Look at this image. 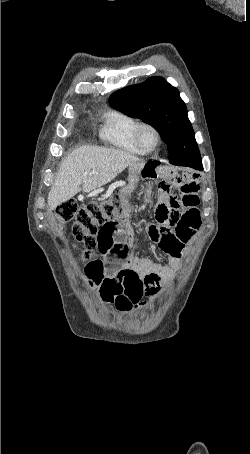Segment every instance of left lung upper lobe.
Listing matches in <instances>:
<instances>
[{
    "instance_id": "left-lung-upper-lobe-1",
    "label": "left lung upper lobe",
    "mask_w": 250,
    "mask_h": 454,
    "mask_svg": "<svg viewBox=\"0 0 250 454\" xmlns=\"http://www.w3.org/2000/svg\"><path fill=\"white\" fill-rule=\"evenodd\" d=\"M109 104L153 126L168 146L169 158L184 154L200 157L186 105L179 91L162 77H151L114 92Z\"/></svg>"
}]
</instances>
